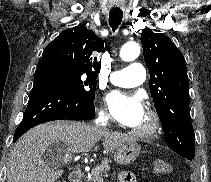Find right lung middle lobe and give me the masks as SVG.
Returning a JSON list of instances; mask_svg holds the SVG:
<instances>
[{
	"instance_id": "dd1d6c3e",
	"label": "right lung middle lobe",
	"mask_w": 211,
	"mask_h": 182,
	"mask_svg": "<svg viewBox=\"0 0 211 182\" xmlns=\"http://www.w3.org/2000/svg\"><path fill=\"white\" fill-rule=\"evenodd\" d=\"M64 76L67 82L77 91L84 99L94 102L96 90V77L88 75L83 71L72 66L54 62L52 64Z\"/></svg>"
}]
</instances>
